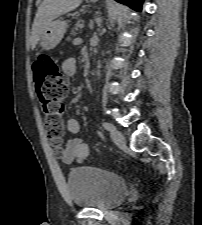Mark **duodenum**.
I'll return each mask as SVG.
<instances>
[{
  "instance_id": "obj_1",
  "label": "duodenum",
  "mask_w": 202,
  "mask_h": 225,
  "mask_svg": "<svg viewBox=\"0 0 202 225\" xmlns=\"http://www.w3.org/2000/svg\"><path fill=\"white\" fill-rule=\"evenodd\" d=\"M81 56L83 63V71L85 74H87L90 69V57L87 52H82Z\"/></svg>"
}]
</instances>
